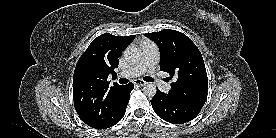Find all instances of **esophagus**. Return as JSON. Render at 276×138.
Returning <instances> with one entry per match:
<instances>
[{
    "instance_id": "esophagus-1",
    "label": "esophagus",
    "mask_w": 276,
    "mask_h": 138,
    "mask_svg": "<svg viewBox=\"0 0 276 138\" xmlns=\"http://www.w3.org/2000/svg\"><path fill=\"white\" fill-rule=\"evenodd\" d=\"M134 84L138 85V86H144V85H146V82L141 79H137L134 81Z\"/></svg>"
}]
</instances>
